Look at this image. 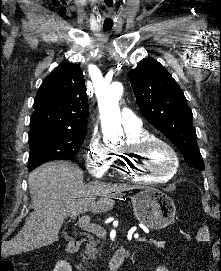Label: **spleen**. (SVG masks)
<instances>
[{"label": "spleen", "instance_id": "1", "mask_svg": "<svg viewBox=\"0 0 221 271\" xmlns=\"http://www.w3.org/2000/svg\"><path fill=\"white\" fill-rule=\"evenodd\" d=\"M209 237V231L205 225L204 229H201L198 233V241H206Z\"/></svg>", "mask_w": 221, "mask_h": 271}]
</instances>
